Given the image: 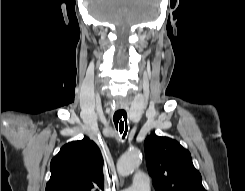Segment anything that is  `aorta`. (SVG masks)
<instances>
[{
	"instance_id": "1",
	"label": "aorta",
	"mask_w": 245,
	"mask_h": 191,
	"mask_svg": "<svg viewBox=\"0 0 245 191\" xmlns=\"http://www.w3.org/2000/svg\"><path fill=\"white\" fill-rule=\"evenodd\" d=\"M141 157V151L137 148L124 153L117 162L118 174L123 177L132 174L140 165Z\"/></svg>"
}]
</instances>
